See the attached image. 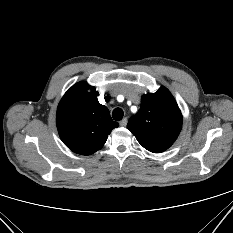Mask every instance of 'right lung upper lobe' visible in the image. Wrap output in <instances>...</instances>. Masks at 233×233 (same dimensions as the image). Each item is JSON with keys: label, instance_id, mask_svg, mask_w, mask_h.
Instances as JSON below:
<instances>
[{"label": "right lung upper lobe", "instance_id": "1", "mask_svg": "<svg viewBox=\"0 0 233 233\" xmlns=\"http://www.w3.org/2000/svg\"><path fill=\"white\" fill-rule=\"evenodd\" d=\"M98 92L86 82L73 85L61 99L56 115L59 135L73 152L91 155L101 149L110 132L118 127Z\"/></svg>", "mask_w": 233, "mask_h": 233}]
</instances>
